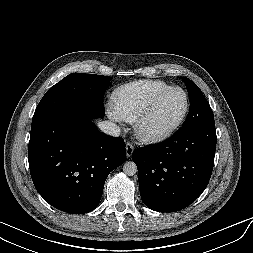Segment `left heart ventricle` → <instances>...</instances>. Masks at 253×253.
I'll return each instance as SVG.
<instances>
[{
	"label": "left heart ventricle",
	"mask_w": 253,
	"mask_h": 253,
	"mask_svg": "<svg viewBox=\"0 0 253 253\" xmlns=\"http://www.w3.org/2000/svg\"><path fill=\"white\" fill-rule=\"evenodd\" d=\"M185 99L180 91H172L165 95L157 104L148 118L145 128L151 132L163 131L172 126L180 117Z\"/></svg>",
	"instance_id": "left-heart-ventricle-1"
}]
</instances>
